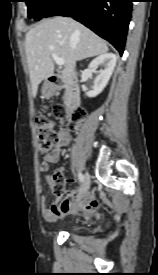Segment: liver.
<instances>
[{
	"instance_id": "obj_1",
	"label": "liver",
	"mask_w": 158,
	"mask_h": 275,
	"mask_svg": "<svg viewBox=\"0 0 158 275\" xmlns=\"http://www.w3.org/2000/svg\"><path fill=\"white\" fill-rule=\"evenodd\" d=\"M106 42L81 23L67 17L44 19L25 36V52L36 97L38 86L54 73L52 53L64 60L63 78L71 80L77 61L107 53Z\"/></svg>"
}]
</instances>
